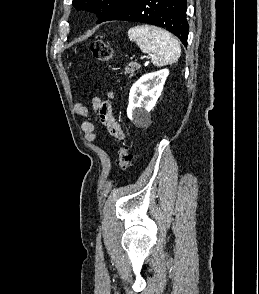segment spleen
<instances>
[{
  "label": "spleen",
  "mask_w": 259,
  "mask_h": 294,
  "mask_svg": "<svg viewBox=\"0 0 259 294\" xmlns=\"http://www.w3.org/2000/svg\"><path fill=\"white\" fill-rule=\"evenodd\" d=\"M130 41L135 42L144 53H151L155 66L175 63L180 55L179 41L169 32L155 26H135L128 30Z\"/></svg>",
  "instance_id": "1"
}]
</instances>
